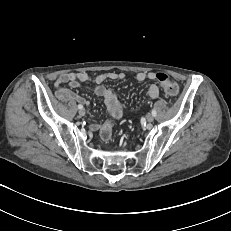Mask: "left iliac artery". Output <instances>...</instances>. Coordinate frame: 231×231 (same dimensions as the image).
<instances>
[{"mask_svg": "<svg viewBox=\"0 0 231 231\" xmlns=\"http://www.w3.org/2000/svg\"><path fill=\"white\" fill-rule=\"evenodd\" d=\"M151 113H152V115H153L154 117L157 115V112H156L155 109H152Z\"/></svg>", "mask_w": 231, "mask_h": 231, "instance_id": "44dca946", "label": "left iliac artery"}]
</instances>
